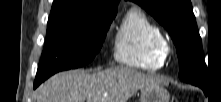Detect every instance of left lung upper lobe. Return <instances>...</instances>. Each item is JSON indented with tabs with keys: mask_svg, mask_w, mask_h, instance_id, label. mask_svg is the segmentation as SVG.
<instances>
[{
	"mask_svg": "<svg viewBox=\"0 0 221 102\" xmlns=\"http://www.w3.org/2000/svg\"><path fill=\"white\" fill-rule=\"evenodd\" d=\"M150 13L171 35L179 57L180 80L206 86L207 67L190 0H132Z\"/></svg>",
	"mask_w": 221,
	"mask_h": 102,
	"instance_id": "5c2ea615",
	"label": "left lung upper lobe"
}]
</instances>
